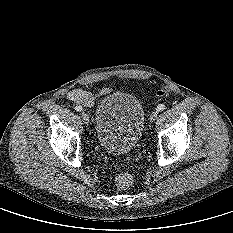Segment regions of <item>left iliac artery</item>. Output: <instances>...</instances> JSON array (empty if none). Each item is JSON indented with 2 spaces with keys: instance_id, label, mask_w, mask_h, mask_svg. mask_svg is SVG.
I'll return each instance as SVG.
<instances>
[{
  "instance_id": "obj_1",
  "label": "left iliac artery",
  "mask_w": 233,
  "mask_h": 233,
  "mask_svg": "<svg viewBox=\"0 0 233 233\" xmlns=\"http://www.w3.org/2000/svg\"><path fill=\"white\" fill-rule=\"evenodd\" d=\"M165 109V105L164 104H159L156 108L157 111H163Z\"/></svg>"
}]
</instances>
